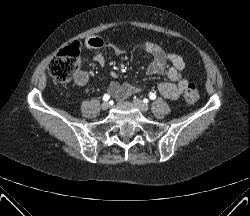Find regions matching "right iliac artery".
<instances>
[{
    "label": "right iliac artery",
    "instance_id": "1",
    "mask_svg": "<svg viewBox=\"0 0 250 216\" xmlns=\"http://www.w3.org/2000/svg\"><path fill=\"white\" fill-rule=\"evenodd\" d=\"M109 98H110V96H109L108 94H105V95L103 96V100H104V101H108Z\"/></svg>",
    "mask_w": 250,
    "mask_h": 216
}]
</instances>
